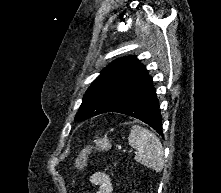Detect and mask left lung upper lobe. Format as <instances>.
<instances>
[{
    "label": "left lung upper lobe",
    "instance_id": "obj_1",
    "mask_svg": "<svg viewBox=\"0 0 221 193\" xmlns=\"http://www.w3.org/2000/svg\"><path fill=\"white\" fill-rule=\"evenodd\" d=\"M146 72V67L134 56L113 61L86 91L75 120L83 121L103 113L126 87Z\"/></svg>",
    "mask_w": 221,
    "mask_h": 193
}]
</instances>
